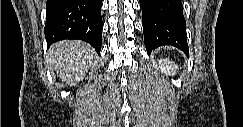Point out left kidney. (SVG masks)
Masks as SVG:
<instances>
[{
	"mask_svg": "<svg viewBox=\"0 0 243 127\" xmlns=\"http://www.w3.org/2000/svg\"><path fill=\"white\" fill-rule=\"evenodd\" d=\"M159 68L162 70V72L166 73L167 75H175L178 66L168 59H160Z\"/></svg>",
	"mask_w": 243,
	"mask_h": 127,
	"instance_id": "1",
	"label": "left kidney"
}]
</instances>
